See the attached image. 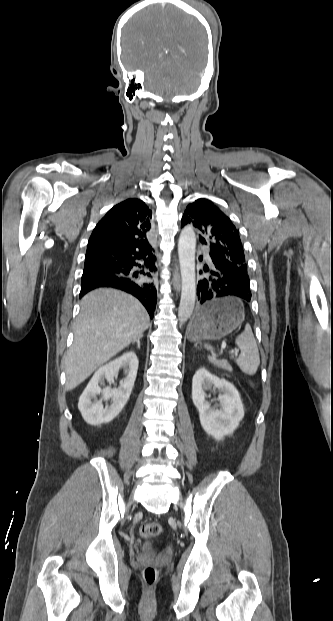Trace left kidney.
<instances>
[{"label": "left kidney", "mask_w": 333, "mask_h": 621, "mask_svg": "<svg viewBox=\"0 0 333 621\" xmlns=\"http://www.w3.org/2000/svg\"><path fill=\"white\" fill-rule=\"evenodd\" d=\"M212 388L222 392L217 398L219 404L214 406H211L205 398V392ZM192 400L199 411L202 428L216 440L231 435L244 417V408L237 389L227 380L212 375L205 368H200L193 376Z\"/></svg>", "instance_id": "1"}]
</instances>
